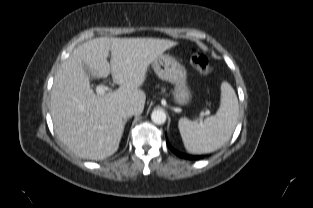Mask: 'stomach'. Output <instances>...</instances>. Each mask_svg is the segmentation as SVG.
I'll return each instance as SVG.
<instances>
[{"mask_svg": "<svg viewBox=\"0 0 313 208\" xmlns=\"http://www.w3.org/2000/svg\"><path fill=\"white\" fill-rule=\"evenodd\" d=\"M152 67L159 78L174 85L173 100L179 105L190 102L191 91L187 85V72L175 58L162 54L152 62Z\"/></svg>", "mask_w": 313, "mask_h": 208, "instance_id": "0dacf381", "label": "stomach"}]
</instances>
